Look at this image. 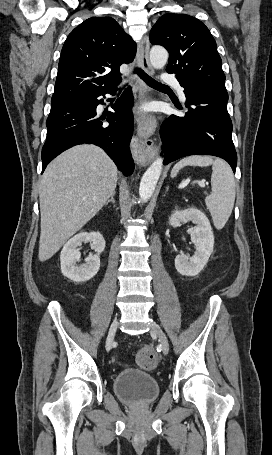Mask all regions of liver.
Segmentation results:
<instances>
[{
	"instance_id": "obj_1",
	"label": "liver",
	"mask_w": 272,
	"mask_h": 455,
	"mask_svg": "<svg viewBox=\"0 0 272 455\" xmlns=\"http://www.w3.org/2000/svg\"><path fill=\"white\" fill-rule=\"evenodd\" d=\"M117 174L113 161L94 145L73 147L46 168L39 187L41 262L99 212L115 192Z\"/></svg>"
}]
</instances>
